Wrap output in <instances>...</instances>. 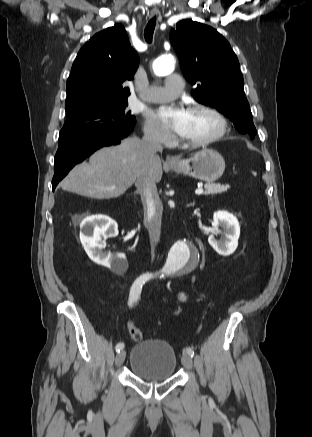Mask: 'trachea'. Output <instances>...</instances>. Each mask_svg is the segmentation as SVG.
Wrapping results in <instances>:
<instances>
[{
    "mask_svg": "<svg viewBox=\"0 0 312 437\" xmlns=\"http://www.w3.org/2000/svg\"><path fill=\"white\" fill-rule=\"evenodd\" d=\"M155 26H156V16H154L151 20H149L145 28L144 37L148 43L152 42Z\"/></svg>",
    "mask_w": 312,
    "mask_h": 437,
    "instance_id": "1",
    "label": "trachea"
}]
</instances>
